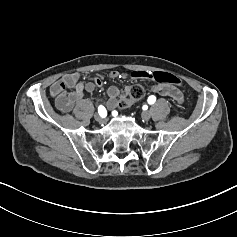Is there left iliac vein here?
<instances>
[{"instance_id": "left-iliac-vein-1", "label": "left iliac vein", "mask_w": 237, "mask_h": 237, "mask_svg": "<svg viewBox=\"0 0 237 237\" xmlns=\"http://www.w3.org/2000/svg\"><path fill=\"white\" fill-rule=\"evenodd\" d=\"M141 117L144 122H148L149 119L151 118V115L148 111H144L142 112Z\"/></svg>"}]
</instances>
